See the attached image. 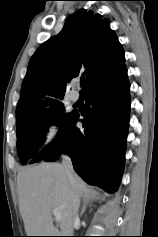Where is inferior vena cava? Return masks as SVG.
Returning <instances> with one entry per match:
<instances>
[{
  "instance_id": "602c4592",
  "label": "inferior vena cava",
  "mask_w": 158,
  "mask_h": 237,
  "mask_svg": "<svg viewBox=\"0 0 158 237\" xmlns=\"http://www.w3.org/2000/svg\"><path fill=\"white\" fill-rule=\"evenodd\" d=\"M62 165L65 168V171L69 177L70 183L74 189V194H73V203H74V221L76 222L78 220V209H79V196L77 192L75 191V182H74V170L72 166V161L71 158L68 155H63L62 156Z\"/></svg>"
}]
</instances>
